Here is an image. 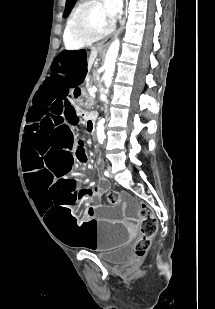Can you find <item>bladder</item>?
<instances>
[{"mask_svg": "<svg viewBox=\"0 0 215 309\" xmlns=\"http://www.w3.org/2000/svg\"><path fill=\"white\" fill-rule=\"evenodd\" d=\"M132 255V249L129 246H124L112 252L100 254L99 258L106 263L119 265L128 261Z\"/></svg>", "mask_w": 215, "mask_h": 309, "instance_id": "31cf9c89", "label": "bladder"}]
</instances>
